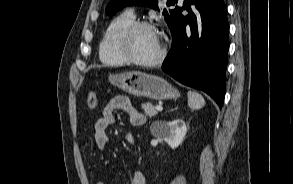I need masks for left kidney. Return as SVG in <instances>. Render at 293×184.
<instances>
[{
  "label": "left kidney",
  "mask_w": 293,
  "mask_h": 184,
  "mask_svg": "<svg viewBox=\"0 0 293 184\" xmlns=\"http://www.w3.org/2000/svg\"><path fill=\"white\" fill-rule=\"evenodd\" d=\"M187 130L185 122L182 119H176L164 124L162 137L172 149H175L183 142Z\"/></svg>",
  "instance_id": "left-kidney-1"
}]
</instances>
